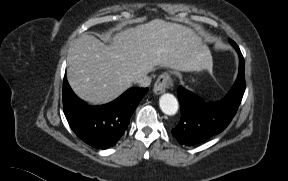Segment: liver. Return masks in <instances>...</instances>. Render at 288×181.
I'll use <instances>...</instances> for the list:
<instances>
[{
    "label": "liver",
    "mask_w": 288,
    "mask_h": 181,
    "mask_svg": "<svg viewBox=\"0 0 288 181\" xmlns=\"http://www.w3.org/2000/svg\"><path fill=\"white\" fill-rule=\"evenodd\" d=\"M200 44L191 28L162 19L117 32L110 45L83 35L69 49L67 79L84 101L107 103L156 66L193 71Z\"/></svg>",
    "instance_id": "6515ba94"
}]
</instances>
